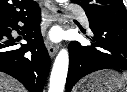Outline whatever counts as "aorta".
<instances>
[{
    "mask_svg": "<svg viewBox=\"0 0 127 92\" xmlns=\"http://www.w3.org/2000/svg\"><path fill=\"white\" fill-rule=\"evenodd\" d=\"M65 2L66 0H58ZM69 67V54L66 49H62L54 62L48 92H63Z\"/></svg>",
    "mask_w": 127,
    "mask_h": 92,
    "instance_id": "1",
    "label": "aorta"
}]
</instances>
